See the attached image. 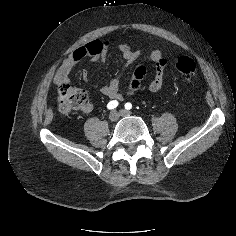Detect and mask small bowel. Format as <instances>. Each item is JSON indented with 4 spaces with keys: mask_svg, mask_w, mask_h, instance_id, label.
<instances>
[{
    "mask_svg": "<svg viewBox=\"0 0 236 236\" xmlns=\"http://www.w3.org/2000/svg\"><path fill=\"white\" fill-rule=\"evenodd\" d=\"M111 45L112 43L110 40H92L84 46L77 48L72 54L63 60L62 64L58 68L54 76L55 84L59 86L68 84L70 82L73 68L84 59H89L94 63H104ZM118 50L126 65L134 62L140 54L138 50L132 49L127 44L118 45ZM149 58L154 64V78L149 83L148 89L150 92L156 93L163 86L167 62L161 51L158 49L152 50L149 54ZM82 78L84 81H89V74L87 71L83 72ZM95 86L100 93L112 101H117L122 98V94L119 91V78H115L108 83L96 82ZM129 91L133 92L132 90ZM92 110L93 105L91 103H86L82 107L83 113H90Z\"/></svg>",
    "mask_w": 236,
    "mask_h": 236,
    "instance_id": "obj_1",
    "label": "small bowel"
}]
</instances>
